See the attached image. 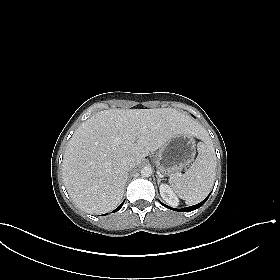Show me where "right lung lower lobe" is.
Segmentation results:
<instances>
[{
    "label": "right lung lower lobe",
    "instance_id": "right-lung-lower-lobe-1",
    "mask_svg": "<svg viewBox=\"0 0 280 280\" xmlns=\"http://www.w3.org/2000/svg\"><path fill=\"white\" fill-rule=\"evenodd\" d=\"M123 204H124V202H123L118 208H116V209L113 211V213L116 212V211H118V210L123 206Z\"/></svg>",
    "mask_w": 280,
    "mask_h": 280
}]
</instances>
